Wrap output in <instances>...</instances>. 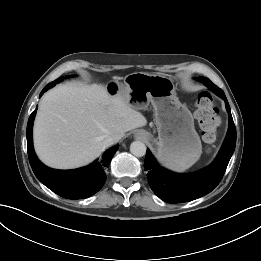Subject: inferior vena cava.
Returning a JSON list of instances; mask_svg holds the SVG:
<instances>
[{"instance_id": "inferior-vena-cava-1", "label": "inferior vena cava", "mask_w": 261, "mask_h": 261, "mask_svg": "<svg viewBox=\"0 0 261 261\" xmlns=\"http://www.w3.org/2000/svg\"><path fill=\"white\" fill-rule=\"evenodd\" d=\"M116 142H117V138L115 136H108L107 138H105L103 143L105 147H109Z\"/></svg>"}]
</instances>
